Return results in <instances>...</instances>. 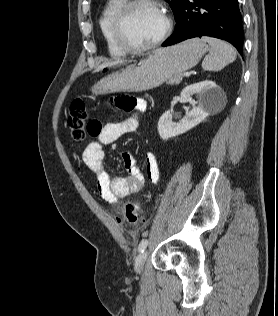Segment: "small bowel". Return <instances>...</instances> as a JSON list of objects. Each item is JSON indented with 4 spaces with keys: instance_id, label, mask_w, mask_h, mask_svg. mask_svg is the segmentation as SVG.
Masks as SVG:
<instances>
[{
    "instance_id": "c3829d8e",
    "label": "small bowel",
    "mask_w": 278,
    "mask_h": 316,
    "mask_svg": "<svg viewBox=\"0 0 278 316\" xmlns=\"http://www.w3.org/2000/svg\"><path fill=\"white\" fill-rule=\"evenodd\" d=\"M116 105L133 114L125 120L100 125L96 141L90 142L84 149L82 159L85 166L96 178L97 189L103 200L117 204L120 199L140 192L145 185V176L137 166L134 155L129 151L122 153V161L127 172L126 176H111L104 165L103 145L110 144L123 135L133 132L138 127V115L146 110L143 99L121 97L115 100ZM146 177L151 184L159 180L160 170L153 152L145 153Z\"/></svg>"
}]
</instances>
